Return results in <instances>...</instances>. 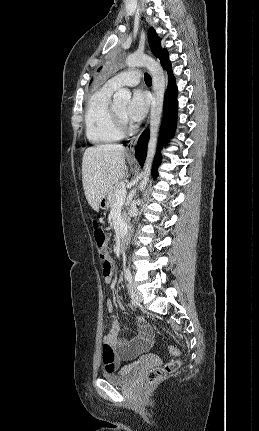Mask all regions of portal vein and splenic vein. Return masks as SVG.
Instances as JSON below:
<instances>
[{
    "mask_svg": "<svg viewBox=\"0 0 259 431\" xmlns=\"http://www.w3.org/2000/svg\"><path fill=\"white\" fill-rule=\"evenodd\" d=\"M126 194H127V191H126V189H125V188L119 189V190L116 192L117 199H118V200H120V201L125 200V198H126Z\"/></svg>",
    "mask_w": 259,
    "mask_h": 431,
    "instance_id": "obj_1",
    "label": "portal vein and splenic vein"
}]
</instances>
